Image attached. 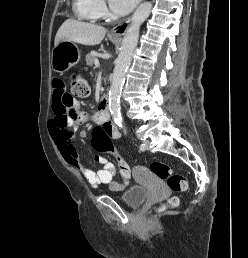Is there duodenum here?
Returning <instances> with one entry per match:
<instances>
[{
  "instance_id": "duodenum-1",
  "label": "duodenum",
  "mask_w": 248,
  "mask_h": 258,
  "mask_svg": "<svg viewBox=\"0 0 248 258\" xmlns=\"http://www.w3.org/2000/svg\"><path fill=\"white\" fill-rule=\"evenodd\" d=\"M99 112L102 118L110 119L109 102L107 95H104L102 98V103Z\"/></svg>"
}]
</instances>
